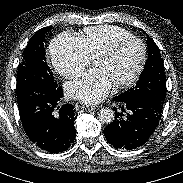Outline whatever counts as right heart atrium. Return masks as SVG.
Wrapping results in <instances>:
<instances>
[{
	"mask_svg": "<svg viewBox=\"0 0 183 183\" xmlns=\"http://www.w3.org/2000/svg\"><path fill=\"white\" fill-rule=\"evenodd\" d=\"M50 56L55 70L66 78L79 75L90 61L80 39L67 32L59 34L52 40Z\"/></svg>",
	"mask_w": 183,
	"mask_h": 183,
	"instance_id": "right-heart-atrium-1",
	"label": "right heart atrium"
}]
</instances>
